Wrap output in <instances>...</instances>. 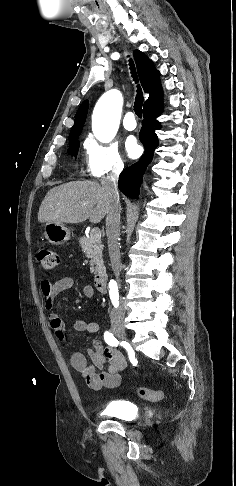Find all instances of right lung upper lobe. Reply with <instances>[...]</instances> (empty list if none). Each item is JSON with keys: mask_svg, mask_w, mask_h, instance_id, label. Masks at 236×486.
Instances as JSON below:
<instances>
[{"mask_svg": "<svg viewBox=\"0 0 236 486\" xmlns=\"http://www.w3.org/2000/svg\"><path fill=\"white\" fill-rule=\"evenodd\" d=\"M133 55L141 85L144 91L149 93V98L145 101V105L162 96L159 72L155 69L153 62L149 60L144 53L135 50ZM87 111L88 101L86 100L82 103L76 113L75 122L70 132V141L79 137L86 120Z\"/></svg>", "mask_w": 236, "mask_h": 486, "instance_id": "right-lung-upper-lobe-1", "label": "right lung upper lobe"}]
</instances>
